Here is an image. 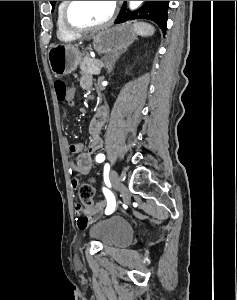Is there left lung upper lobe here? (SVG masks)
Returning <instances> with one entry per match:
<instances>
[{
  "mask_svg": "<svg viewBox=\"0 0 237 300\" xmlns=\"http://www.w3.org/2000/svg\"><path fill=\"white\" fill-rule=\"evenodd\" d=\"M50 3L53 9L56 1H50ZM167 10L168 6L165 5V1H147L141 9L134 12H126V5L124 4L115 23H122L136 18L149 19L157 23L165 34L167 29Z\"/></svg>",
  "mask_w": 237,
  "mask_h": 300,
  "instance_id": "obj_1",
  "label": "left lung upper lobe"
}]
</instances>
